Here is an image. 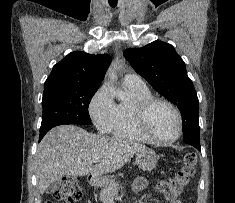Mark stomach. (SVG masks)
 <instances>
[{
	"label": "stomach",
	"mask_w": 235,
	"mask_h": 203,
	"mask_svg": "<svg viewBox=\"0 0 235 203\" xmlns=\"http://www.w3.org/2000/svg\"><path fill=\"white\" fill-rule=\"evenodd\" d=\"M158 159L157 154L148 148L136 153V164L144 171L153 170ZM90 181L96 187H105L111 182V179L106 176H92Z\"/></svg>",
	"instance_id": "1"
}]
</instances>
